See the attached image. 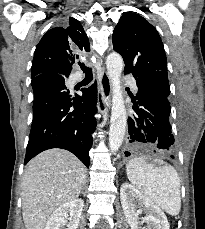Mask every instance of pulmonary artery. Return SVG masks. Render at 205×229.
I'll return each instance as SVG.
<instances>
[{
	"label": "pulmonary artery",
	"instance_id": "1",
	"mask_svg": "<svg viewBox=\"0 0 205 229\" xmlns=\"http://www.w3.org/2000/svg\"><path fill=\"white\" fill-rule=\"evenodd\" d=\"M123 80L127 83V84H129L131 87H132V89L134 90V91H137V84H136V81H135V79L132 77V76H124L123 77Z\"/></svg>",
	"mask_w": 205,
	"mask_h": 229
}]
</instances>
